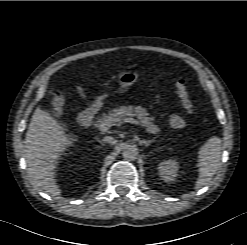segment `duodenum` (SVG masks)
Segmentation results:
<instances>
[{
    "label": "duodenum",
    "mask_w": 247,
    "mask_h": 245,
    "mask_svg": "<svg viewBox=\"0 0 247 245\" xmlns=\"http://www.w3.org/2000/svg\"><path fill=\"white\" fill-rule=\"evenodd\" d=\"M97 111L95 108H87L80 112L78 116V123L82 127H88L92 124L94 116L96 115Z\"/></svg>",
    "instance_id": "duodenum-1"
}]
</instances>
